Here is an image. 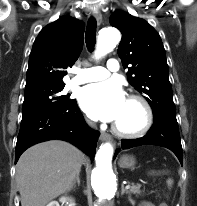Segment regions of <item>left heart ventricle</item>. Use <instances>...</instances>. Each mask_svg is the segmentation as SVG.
I'll return each instance as SVG.
<instances>
[{"instance_id": "1", "label": "left heart ventricle", "mask_w": 197, "mask_h": 206, "mask_svg": "<svg viewBox=\"0 0 197 206\" xmlns=\"http://www.w3.org/2000/svg\"><path fill=\"white\" fill-rule=\"evenodd\" d=\"M144 115L140 105L126 100L124 110L116 124L125 130H135L143 123Z\"/></svg>"}]
</instances>
